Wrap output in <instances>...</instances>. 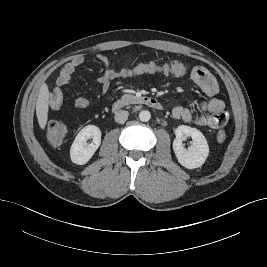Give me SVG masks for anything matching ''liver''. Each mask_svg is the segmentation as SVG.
<instances>
[{"label": "liver", "mask_w": 267, "mask_h": 267, "mask_svg": "<svg viewBox=\"0 0 267 267\" xmlns=\"http://www.w3.org/2000/svg\"><path fill=\"white\" fill-rule=\"evenodd\" d=\"M50 93L47 84H43L36 102V115L39 126L45 129L48 120Z\"/></svg>", "instance_id": "liver-1"}]
</instances>
